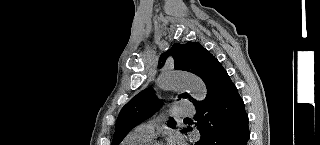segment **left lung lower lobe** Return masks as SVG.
<instances>
[{"label":"left lung lower lobe","mask_w":320,"mask_h":145,"mask_svg":"<svg viewBox=\"0 0 320 145\" xmlns=\"http://www.w3.org/2000/svg\"><path fill=\"white\" fill-rule=\"evenodd\" d=\"M207 94L195 101V127L200 139L194 145H247L248 116L242 98L217 59L201 75ZM192 130L188 127L185 132Z\"/></svg>","instance_id":"obj_1"}]
</instances>
